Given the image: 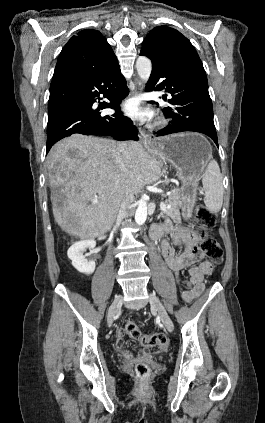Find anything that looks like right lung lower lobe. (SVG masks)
Masks as SVG:
<instances>
[{"label": "right lung lower lobe", "mask_w": 265, "mask_h": 423, "mask_svg": "<svg viewBox=\"0 0 265 423\" xmlns=\"http://www.w3.org/2000/svg\"><path fill=\"white\" fill-rule=\"evenodd\" d=\"M124 76L119 65L105 71H87L52 80L48 102L46 153L64 137L75 133L112 136L116 140L138 141L137 129L120 111L121 100L128 95ZM102 94L110 103L95 98ZM112 108V116H101L100 109Z\"/></svg>", "instance_id": "right-lung-lower-lobe-1"}]
</instances>
